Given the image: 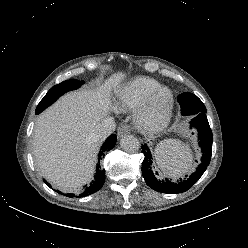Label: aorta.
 <instances>
[{"instance_id": "aorta-1", "label": "aorta", "mask_w": 248, "mask_h": 248, "mask_svg": "<svg viewBox=\"0 0 248 248\" xmlns=\"http://www.w3.org/2000/svg\"><path fill=\"white\" fill-rule=\"evenodd\" d=\"M121 148L126 152H136L140 148L138 139L133 135L124 136L120 141Z\"/></svg>"}]
</instances>
